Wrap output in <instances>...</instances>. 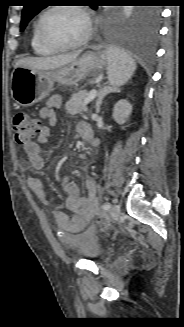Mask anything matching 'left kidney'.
<instances>
[{
  "label": "left kidney",
  "instance_id": "5707ae66",
  "mask_svg": "<svg viewBox=\"0 0 184 327\" xmlns=\"http://www.w3.org/2000/svg\"><path fill=\"white\" fill-rule=\"evenodd\" d=\"M132 112V105L127 100L118 101L113 109V119L118 124H124Z\"/></svg>",
  "mask_w": 184,
  "mask_h": 327
}]
</instances>
